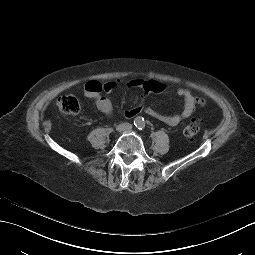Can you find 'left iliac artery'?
Segmentation results:
<instances>
[{"mask_svg":"<svg viewBox=\"0 0 255 255\" xmlns=\"http://www.w3.org/2000/svg\"><path fill=\"white\" fill-rule=\"evenodd\" d=\"M144 128H145V125L143 123L140 124L139 127H138L139 130H143Z\"/></svg>","mask_w":255,"mask_h":255,"instance_id":"1","label":"left iliac artery"}]
</instances>
